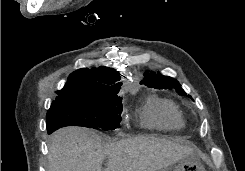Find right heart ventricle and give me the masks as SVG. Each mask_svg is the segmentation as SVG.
Masks as SVG:
<instances>
[{"mask_svg": "<svg viewBox=\"0 0 245 171\" xmlns=\"http://www.w3.org/2000/svg\"><path fill=\"white\" fill-rule=\"evenodd\" d=\"M140 124L147 129L169 131L184 125L179 107L170 99L148 95L139 108Z\"/></svg>", "mask_w": 245, "mask_h": 171, "instance_id": "obj_1", "label": "right heart ventricle"}]
</instances>
